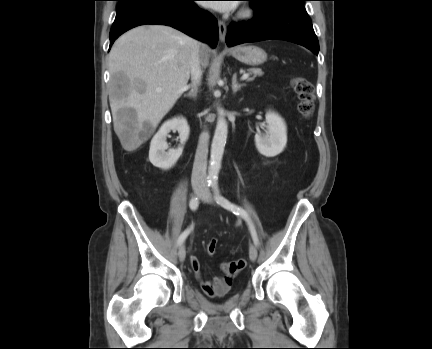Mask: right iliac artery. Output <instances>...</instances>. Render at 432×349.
Returning <instances> with one entry per match:
<instances>
[{"label": "right iliac artery", "instance_id": "1", "mask_svg": "<svg viewBox=\"0 0 432 349\" xmlns=\"http://www.w3.org/2000/svg\"><path fill=\"white\" fill-rule=\"evenodd\" d=\"M198 205H199V199L197 197H194L190 200L189 206L191 210L195 211L198 208ZM192 229L193 226H190L184 232H182V234L178 238V242H177L178 245H181L184 242V240L187 238V236L192 231Z\"/></svg>", "mask_w": 432, "mask_h": 349}]
</instances>
